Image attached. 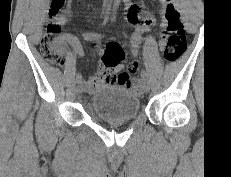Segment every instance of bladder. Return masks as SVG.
<instances>
[{
	"instance_id": "obj_1",
	"label": "bladder",
	"mask_w": 231,
	"mask_h": 177,
	"mask_svg": "<svg viewBox=\"0 0 231 177\" xmlns=\"http://www.w3.org/2000/svg\"><path fill=\"white\" fill-rule=\"evenodd\" d=\"M139 107L137 96L119 86H102L91 99L94 115L108 122L131 120L138 115Z\"/></svg>"
}]
</instances>
